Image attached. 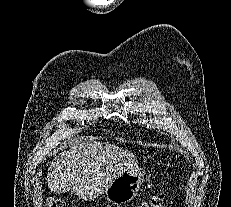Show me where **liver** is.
Instances as JSON below:
<instances>
[{
	"label": "liver",
	"instance_id": "1",
	"mask_svg": "<svg viewBox=\"0 0 231 207\" xmlns=\"http://www.w3.org/2000/svg\"><path fill=\"white\" fill-rule=\"evenodd\" d=\"M136 168L135 157L115 145L74 140L69 150L50 163L47 184L53 192L73 189L79 199L92 200L101 195L115 177Z\"/></svg>",
	"mask_w": 231,
	"mask_h": 207
}]
</instances>
